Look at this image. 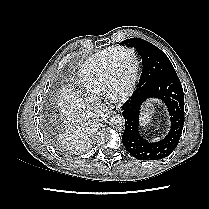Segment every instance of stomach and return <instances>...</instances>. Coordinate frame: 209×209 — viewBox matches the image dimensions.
Returning a JSON list of instances; mask_svg holds the SVG:
<instances>
[{"mask_svg": "<svg viewBox=\"0 0 209 209\" xmlns=\"http://www.w3.org/2000/svg\"><path fill=\"white\" fill-rule=\"evenodd\" d=\"M154 112V106L153 104H148L144 111H143V115H142V125L146 126L148 125V123L150 122V119L152 117V114Z\"/></svg>", "mask_w": 209, "mask_h": 209, "instance_id": "stomach-1", "label": "stomach"}]
</instances>
